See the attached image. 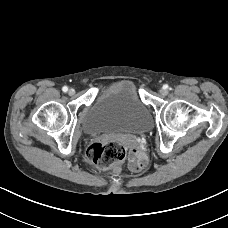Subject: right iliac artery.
I'll return each mask as SVG.
<instances>
[{"label": "right iliac artery", "instance_id": "1", "mask_svg": "<svg viewBox=\"0 0 228 228\" xmlns=\"http://www.w3.org/2000/svg\"><path fill=\"white\" fill-rule=\"evenodd\" d=\"M62 91H63V92H67V91H68V87H67V86H64V87L62 88Z\"/></svg>", "mask_w": 228, "mask_h": 228}]
</instances>
